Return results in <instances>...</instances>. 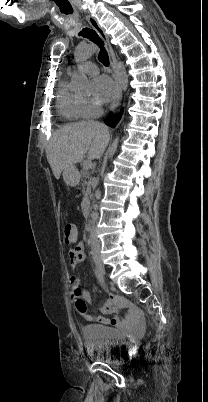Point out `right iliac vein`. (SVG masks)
<instances>
[{
  "mask_svg": "<svg viewBox=\"0 0 208 402\" xmlns=\"http://www.w3.org/2000/svg\"><path fill=\"white\" fill-rule=\"evenodd\" d=\"M94 262H95L97 268L99 269L102 277H104L106 272H105V267H104V265L102 263V260L99 257H95Z\"/></svg>",
  "mask_w": 208,
  "mask_h": 402,
  "instance_id": "obj_1",
  "label": "right iliac vein"
}]
</instances>
